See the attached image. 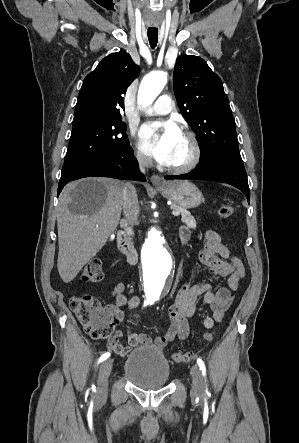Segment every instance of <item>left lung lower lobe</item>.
Here are the masks:
<instances>
[{
    "label": "left lung lower lobe",
    "instance_id": "left-lung-lower-lobe-1",
    "mask_svg": "<svg viewBox=\"0 0 299 443\" xmlns=\"http://www.w3.org/2000/svg\"><path fill=\"white\" fill-rule=\"evenodd\" d=\"M165 179H197L228 183L241 190L250 202V190L242 159L230 156H215L201 161L191 172Z\"/></svg>",
    "mask_w": 299,
    "mask_h": 443
}]
</instances>
